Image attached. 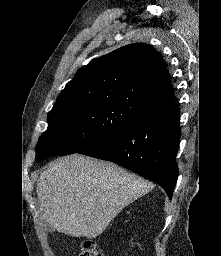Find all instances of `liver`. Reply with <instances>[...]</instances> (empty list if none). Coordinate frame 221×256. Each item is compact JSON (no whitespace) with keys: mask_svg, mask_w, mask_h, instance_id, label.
<instances>
[{"mask_svg":"<svg viewBox=\"0 0 221 256\" xmlns=\"http://www.w3.org/2000/svg\"><path fill=\"white\" fill-rule=\"evenodd\" d=\"M152 183L105 161L74 154L41 172L37 196L43 219L58 232L89 239L100 235Z\"/></svg>","mask_w":221,"mask_h":256,"instance_id":"1","label":"liver"}]
</instances>
